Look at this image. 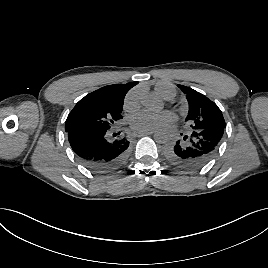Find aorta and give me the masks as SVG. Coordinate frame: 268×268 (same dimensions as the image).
<instances>
[{"instance_id":"762f6f07","label":"aorta","mask_w":268,"mask_h":268,"mask_svg":"<svg viewBox=\"0 0 268 268\" xmlns=\"http://www.w3.org/2000/svg\"><path fill=\"white\" fill-rule=\"evenodd\" d=\"M146 105L151 110H158L161 108L159 101L154 97H148ZM153 138L156 142L163 143L166 140V134L163 131L158 130L154 133Z\"/></svg>"}]
</instances>
